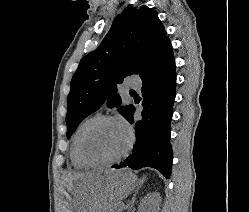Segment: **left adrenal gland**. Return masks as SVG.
<instances>
[{"label":"left adrenal gland","instance_id":"1","mask_svg":"<svg viewBox=\"0 0 249 212\" xmlns=\"http://www.w3.org/2000/svg\"><path fill=\"white\" fill-rule=\"evenodd\" d=\"M142 184H143V180H139V186H138L137 192H139ZM129 204H130V202H129ZM133 206H134V204H133ZM133 206H126V210H128V212H129V210H131V208H133Z\"/></svg>","mask_w":249,"mask_h":212}]
</instances>
